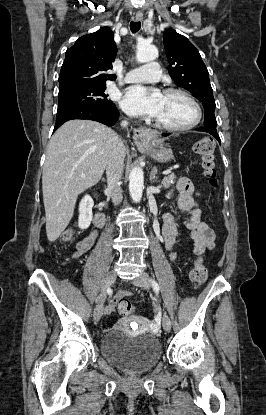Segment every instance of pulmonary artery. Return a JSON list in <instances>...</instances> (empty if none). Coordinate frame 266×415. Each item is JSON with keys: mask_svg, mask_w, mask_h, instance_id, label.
I'll return each instance as SVG.
<instances>
[{"mask_svg": "<svg viewBox=\"0 0 266 415\" xmlns=\"http://www.w3.org/2000/svg\"><path fill=\"white\" fill-rule=\"evenodd\" d=\"M160 76L159 64L157 62H150L127 72L125 81L127 83L155 82L160 79Z\"/></svg>", "mask_w": 266, "mask_h": 415, "instance_id": "obj_1", "label": "pulmonary artery"}]
</instances>
